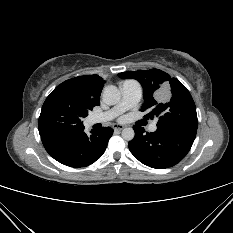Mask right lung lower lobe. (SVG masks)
Segmentation results:
<instances>
[{
	"label": "right lung lower lobe",
	"instance_id": "98d812e1",
	"mask_svg": "<svg viewBox=\"0 0 233 233\" xmlns=\"http://www.w3.org/2000/svg\"><path fill=\"white\" fill-rule=\"evenodd\" d=\"M113 129L103 127L84 132V126L69 131L40 133L46 151L58 162L70 167H85L98 160L105 152Z\"/></svg>",
	"mask_w": 233,
	"mask_h": 233
}]
</instances>
